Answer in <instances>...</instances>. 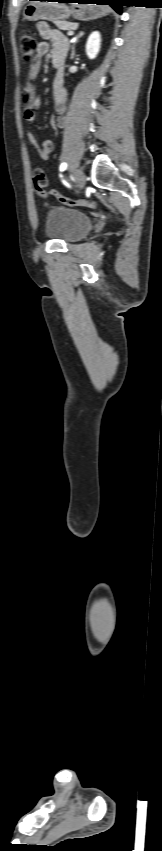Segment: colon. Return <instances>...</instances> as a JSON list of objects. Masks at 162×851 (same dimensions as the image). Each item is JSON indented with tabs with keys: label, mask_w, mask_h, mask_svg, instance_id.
<instances>
[{
	"label": "colon",
	"mask_w": 162,
	"mask_h": 851,
	"mask_svg": "<svg viewBox=\"0 0 162 851\" xmlns=\"http://www.w3.org/2000/svg\"><path fill=\"white\" fill-rule=\"evenodd\" d=\"M37 40L34 33L30 31H23L20 35L19 49L21 53V57L25 62H33L34 54L37 49ZM33 183L37 193L42 198H47L48 196L54 197L60 203L68 206H89L95 207V202L86 199H72L65 195H63L57 189H49V182L46 173L38 168L33 172Z\"/></svg>",
	"instance_id": "colon-1"
}]
</instances>
